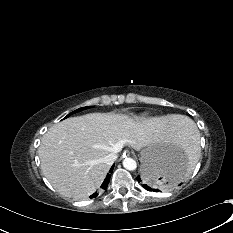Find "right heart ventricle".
<instances>
[{"instance_id": "1", "label": "right heart ventricle", "mask_w": 233, "mask_h": 233, "mask_svg": "<svg viewBox=\"0 0 233 233\" xmlns=\"http://www.w3.org/2000/svg\"><path fill=\"white\" fill-rule=\"evenodd\" d=\"M149 117L148 113H140L136 116L137 121H143Z\"/></svg>"}]
</instances>
